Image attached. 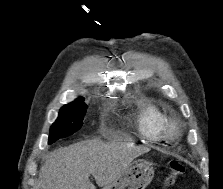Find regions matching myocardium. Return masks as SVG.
Segmentation results:
<instances>
[{
  "instance_id": "1",
  "label": "myocardium",
  "mask_w": 223,
  "mask_h": 189,
  "mask_svg": "<svg viewBox=\"0 0 223 189\" xmlns=\"http://www.w3.org/2000/svg\"><path fill=\"white\" fill-rule=\"evenodd\" d=\"M165 131L169 139H176L182 132L181 123L175 118H170L166 123Z\"/></svg>"
}]
</instances>
